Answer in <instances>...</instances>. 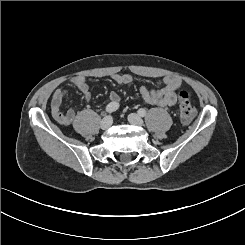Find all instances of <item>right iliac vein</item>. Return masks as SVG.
Instances as JSON below:
<instances>
[{
    "mask_svg": "<svg viewBox=\"0 0 245 245\" xmlns=\"http://www.w3.org/2000/svg\"><path fill=\"white\" fill-rule=\"evenodd\" d=\"M113 119L111 116H106L100 123V126L103 130H106L112 126Z\"/></svg>",
    "mask_w": 245,
    "mask_h": 245,
    "instance_id": "obj_1",
    "label": "right iliac vein"
}]
</instances>
